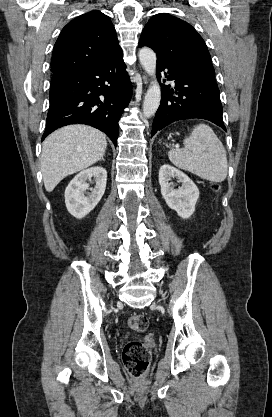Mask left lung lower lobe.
I'll use <instances>...</instances> for the list:
<instances>
[{"label":"left lung lower lobe","mask_w":272,"mask_h":417,"mask_svg":"<svg viewBox=\"0 0 272 417\" xmlns=\"http://www.w3.org/2000/svg\"><path fill=\"white\" fill-rule=\"evenodd\" d=\"M164 69H167L165 78L174 80L175 87L168 85L161 89L162 101L154 118L152 136L175 121L191 118L209 120L226 131L217 84L185 68L157 62L159 82Z\"/></svg>","instance_id":"obj_1"}]
</instances>
